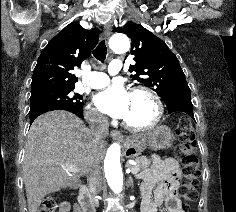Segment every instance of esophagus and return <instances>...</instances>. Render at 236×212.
<instances>
[{
    "mask_svg": "<svg viewBox=\"0 0 236 212\" xmlns=\"http://www.w3.org/2000/svg\"><path fill=\"white\" fill-rule=\"evenodd\" d=\"M111 33H112V25L111 23H108L104 26V29H103V36L105 40L109 39ZM110 135L114 140H118V141L124 140L123 135L119 131H116V130L111 131Z\"/></svg>",
    "mask_w": 236,
    "mask_h": 212,
    "instance_id": "1",
    "label": "esophagus"
}]
</instances>
